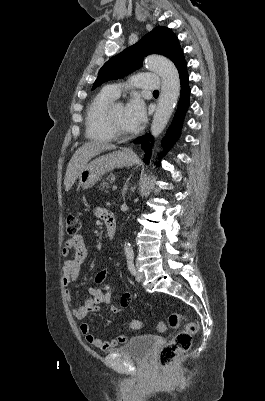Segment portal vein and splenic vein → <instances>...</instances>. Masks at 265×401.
Here are the masks:
<instances>
[{"label":"portal vein and splenic vein","instance_id":"18ae733b","mask_svg":"<svg viewBox=\"0 0 265 401\" xmlns=\"http://www.w3.org/2000/svg\"><path fill=\"white\" fill-rule=\"evenodd\" d=\"M112 190H113V191H116V190H117V185H116V184H113V185H112Z\"/></svg>","mask_w":265,"mask_h":401}]
</instances>
